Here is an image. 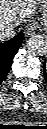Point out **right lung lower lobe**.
Returning a JSON list of instances; mask_svg holds the SVG:
<instances>
[{"mask_svg": "<svg viewBox=\"0 0 47 129\" xmlns=\"http://www.w3.org/2000/svg\"><path fill=\"white\" fill-rule=\"evenodd\" d=\"M23 36V33H19L9 41L0 44V84L11 68L13 58L23 41Z\"/></svg>", "mask_w": 47, "mask_h": 129, "instance_id": "right-lung-lower-lobe-1", "label": "right lung lower lobe"}]
</instances>
